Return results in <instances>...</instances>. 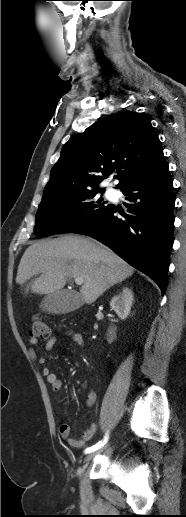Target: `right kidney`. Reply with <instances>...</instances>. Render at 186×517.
I'll return each mask as SVG.
<instances>
[{
  "mask_svg": "<svg viewBox=\"0 0 186 517\" xmlns=\"http://www.w3.org/2000/svg\"><path fill=\"white\" fill-rule=\"evenodd\" d=\"M132 303L133 293L131 289L124 287L118 295L112 297L110 306L120 319L125 320L130 313Z\"/></svg>",
  "mask_w": 186,
  "mask_h": 517,
  "instance_id": "obj_1",
  "label": "right kidney"
}]
</instances>
